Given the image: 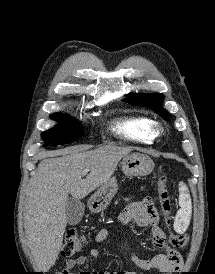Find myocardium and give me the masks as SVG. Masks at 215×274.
Segmentation results:
<instances>
[{"label":"myocardium","mask_w":215,"mask_h":274,"mask_svg":"<svg viewBox=\"0 0 215 274\" xmlns=\"http://www.w3.org/2000/svg\"><path fill=\"white\" fill-rule=\"evenodd\" d=\"M164 131V126L161 123H153L152 132L155 137L163 135Z\"/></svg>","instance_id":"f54148a6"}]
</instances>
